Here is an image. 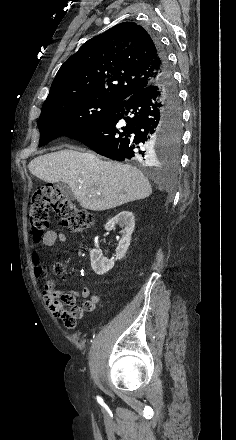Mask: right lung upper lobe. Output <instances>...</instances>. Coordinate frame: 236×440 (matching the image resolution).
<instances>
[{"mask_svg":"<svg viewBox=\"0 0 236 440\" xmlns=\"http://www.w3.org/2000/svg\"><path fill=\"white\" fill-rule=\"evenodd\" d=\"M161 74L149 33L123 22L88 40L61 66L45 102L93 97L120 103Z\"/></svg>","mask_w":236,"mask_h":440,"instance_id":"1","label":"right lung upper lobe"}]
</instances>
